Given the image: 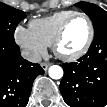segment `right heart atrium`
Listing matches in <instances>:
<instances>
[{"label": "right heart atrium", "mask_w": 107, "mask_h": 107, "mask_svg": "<svg viewBox=\"0 0 107 107\" xmlns=\"http://www.w3.org/2000/svg\"><path fill=\"white\" fill-rule=\"evenodd\" d=\"M15 40L32 59H38L46 53L47 46L34 35L30 28L18 26L15 30Z\"/></svg>", "instance_id": "1"}]
</instances>
